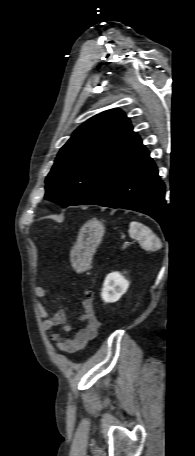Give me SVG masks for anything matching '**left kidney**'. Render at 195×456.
Listing matches in <instances>:
<instances>
[{
    "instance_id": "obj_1",
    "label": "left kidney",
    "mask_w": 195,
    "mask_h": 456,
    "mask_svg": "<svg viewBox=\"0 0 195 456\" xmlns=\"http://www.w3.org/2000/svg\"><path fill=\"white\" fill-rule=\"evenodd\" d=\"M129 282L119 272H113L106 276L101 292V297L106 303L118 301L126 293Z\"/></svg>"
}]
</instances>
